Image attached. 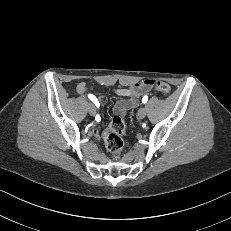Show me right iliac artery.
Returning a JSON list of instances; mask_svg holds the SVG:
<instances>
[{
    "mask_svg": "<svg viewBox=\"0 0 231 231\" xmlns=\"http://www.w3.org/2000/svg\"><path fill=\"white\" fill-rule=\"evenodd\" d=\"M88 97L96 105V107L99 108V102H98L97 98L92 94H89ZM95 119L97 122L101 121V117L99 115H96Z\"/></svg>",
    "mask_w": 231,
    "mask_h": 231,
    "instance_id": "right-iliac-artery-1",
    "label": "right iliac artery"
}]
</instances>
